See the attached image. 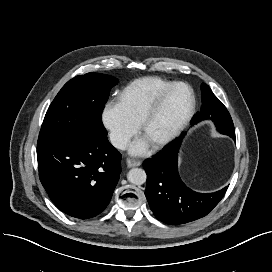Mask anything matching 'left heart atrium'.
Here are the masks:
<instances>
[{
    "label": "left heart atrium",
    "instance_id": "obj_1",
    "mask_svg": "<svg viewBox=\"0 0 272 272\" xmlns=\"http://www.w3.org/2000/svg\"><path fill=\"white\" fill-rule=\"evenodd\" d=\"M147 149V144L144 141H136L131 146V152L133 154H143Z\"/></svg>",
    "mask_w": 272,
    "mask_h": 272
}]
</instances>
